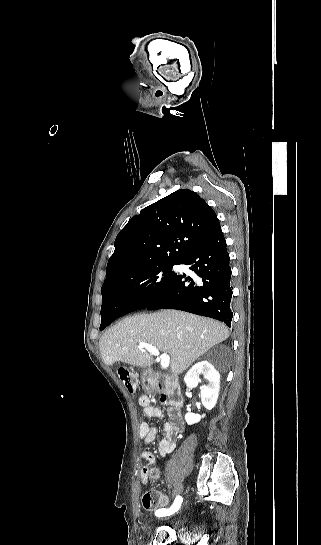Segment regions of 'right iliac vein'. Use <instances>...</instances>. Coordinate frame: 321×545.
Segmentation results:
<instances>
[{"label":"right iliac vein","mask_w":321,"mask_h":545,"mask_svg":"<svg viewBox=\"0 0 321 545\" xmlns=\"http://www.w3.org/2000/svg\"><path fill=\"white\" fill-rule=\"evenodd\" d=\"M183 491V484L182 483H177L176 486H175V490H174V496H177L180 495Z\"/></svg>","instance_id":"1"}]
</instances>
